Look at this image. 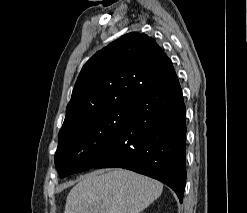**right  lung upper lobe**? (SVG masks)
Listing matches in <instances>:
<instances>
[{"instance_id":"1","label":"right lung upper lobe","mask_w":247,"mask_h":213,"mask_svg":"<svg viewBox=\"0 0 247 213\" xmlns=\"http://www.w3.org/2000/svg\"><path fill=\"white\" fill-rule=\"evenodd\" d=\"M175 74L171 60L151 37L138 32L122 36L83 66L59 135Z\"/></svg>"}]
</instances>
